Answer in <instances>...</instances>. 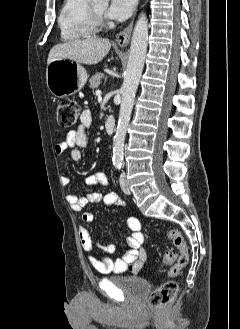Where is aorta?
<instances>
[{
    "mask_svg": "<svg viewBox=\"0 0 240 329\" xmlns=\"http://www.w3.org/2000/svg\"><path fill=\"white\" fill-rule=\"evenodd\" d=\"M109 0H93L95 3L107 4ZM148 41V20L141 13L131 40L129 59L121 87V105L118 126L114 137L112 161L115 166H121L123 161L124 142L129 125L135 94L142 75Z\"/></svg>",
    "mask_w": 240,
    "mask_h": 329,
    "instance_id": "1",
    "label": "aorta"
}]
</instances>
